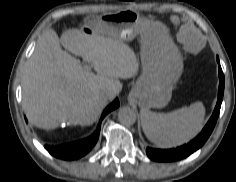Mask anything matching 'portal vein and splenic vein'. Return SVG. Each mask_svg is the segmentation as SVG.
Masks as SVG:
<instances>
[{
    "label": "portal vein and splenic vein",
    "mask_w": 236,
    "mask_h": 182,
    "mask_svg": "<svg viewBox=\"0 0 236 182\" xmlns=\"http://www.w3.org/2000/svg\"><path fill=\"white\" fill-rule=\"evenodd\" d=\"M85 69L90 70V66H85Z\"/></svg>",
    "instance_id": "portal-vein-and-splenic-vein-1"
}]
</instances>
